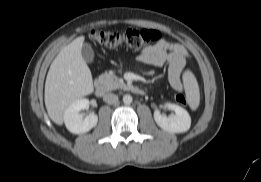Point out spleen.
Returning <instances> with one entry per match:
<instances>
[{"label":"spleen","mask_w":261,"mask_h":182,"mask_svg":"<svg viewBox=\"0 0 261 182\" xmlns=\"http://www.w3.org/2000/svg\"><path fill=\"white\" fill-rule=\"evenodd\" d=\"M183 81L188 104L192 110H196L200 102V93L197 80L192 72L186 71L183 75Z\"/></svg>","instance_id":"1"}]
</instances>
